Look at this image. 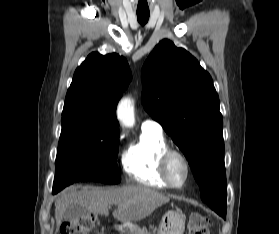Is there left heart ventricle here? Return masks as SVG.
I'll use <instances>...</instances> for the list:
<instances>
[{
  "label": "left heart ventricle",
  "mask_w": 279,
  "mask_h": 234,
  "mask_svg": "<svg viewBox=\"0 0 279 234\" xmlns=\"http://www.w3.org/2000/svg\"><path fill=\"white\" fill-rule=\"evenodd\" d=\"M169 174L171 179L179 184L184 180L185 177V168L182 161L176 157H174L169 165Z\"/></svg>",
  "instance_id": "1"
}]
</instances>
